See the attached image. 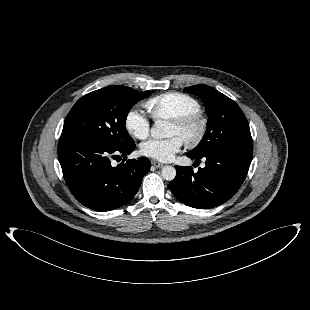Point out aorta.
Instances as JSON below:
<instances>
[{
  "label": "aorta",
  "mask_w": 310,
  "mask_h": 310,
  "mask_svg": "<svg viewBox=\"0 0 310 310\" xmlns=\"http://www.w3.org/2000/svg\"><path fill=\"white\" fill-rule=\"evenodd\" d=\"M151 136L154 139H163L169 136L168 124L166 121L157 120L151 128ZM163 179L172 181L176 177V169L172 166H164L161 170Z\"/></svg>",
  "instance_id": "obj_1"
}]
</instances>
